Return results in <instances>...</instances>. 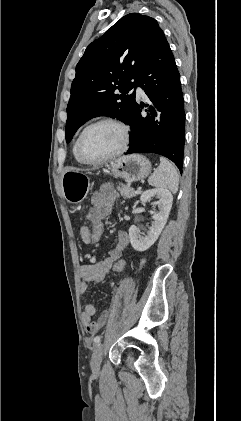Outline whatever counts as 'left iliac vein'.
<instances>
[{"label":"left iliac vein","mask_w":241,"mask_h":421,"mask_svg":"<svg viewBox=\"0 0 241 421\" xmlns=\"http://www.w3.org/2000/svg\"><path fill=\"white\" fill-rule=\"evenodd\" d=\"M103 356V345L99 344L95 348L91 358V368L94 372H98L101 366Z\"/></svg>","instance_id":"1"}]
</instances>
